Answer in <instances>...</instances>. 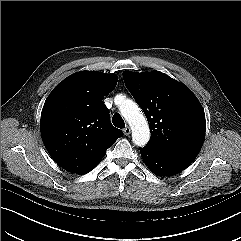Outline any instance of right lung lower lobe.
Segmentation results:
<instances>
[{"mask_svg": "<svg viewBox=\"0 0 241 241\" xmlns=\"http://www.w3.org/2000/svg\"><path fill=\"white\" fill-rule=\"evenodd\" d=\"M94 168V167H93ZM93 168H91V169H89V170H87V171H85L84 173H82V174H85V173H88L90 170H92Z\"/></svg>", "mask_w": 241, "mask_h": 241, "instance_id": "obj_1", "label": "right lung lower lobe"}]
</instances>
